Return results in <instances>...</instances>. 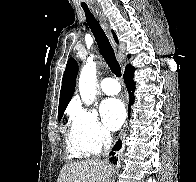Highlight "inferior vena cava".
<instances>
[{"mask_svg": "<svg viewBox=\"0 0 196 182\" xmlns=\"http://www.w3.org/2000/svg\"><path fill=\"white\" fill-rule=\"evenodd\" d=\"M102 140H103V156H107L109 154V149L112 144V138H111L110 132L105 131L103 133Z\"/></svg>", "mask_w": 196, "mask_h": 182, "instance_id": "1", "label": "inferior vena cava"}]
</instances>
